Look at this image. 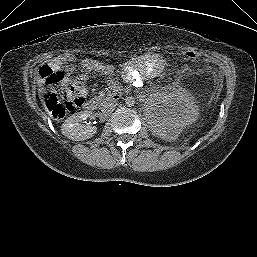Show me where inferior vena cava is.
I'll return each mask as SVG.
<instances>
[{
    "label": "inferior vena cava",
    "instance_id": "602c4592",
    "mask_svg": "<svg viewBox=\"0 0 257 257\" xmlns=\"http://www.w3.org/2000/svg\"><path fill=\"white\" fill-rule=\"evenodd\" d=\"M114 105H115V103L113 101H108V102L103 104L102 110L103 111H108V110L112 109L114 107Z\"/></svg>",
    "mask_w": 257,
    "mask_h": 257
}]
</instances>
